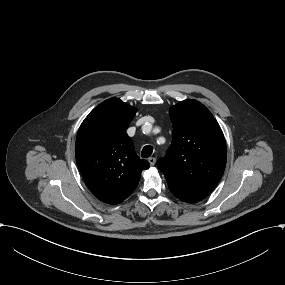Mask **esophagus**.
<instances>
[{"label":"esophagus","mask_w":285,"mask_h":285,"mask_svg":"<svg viewBox=\"0 0 285 285\" xmlns=\"http://www.w3.org/2000/svg\"><path fill=\"white\" fill-rule=\"evenodd\" d=\"M148 162L150 163L151 166H154L156 163V158L150 157V158H148Z\"/></svg>","instance_id":"obj_1"}]
</instances>
